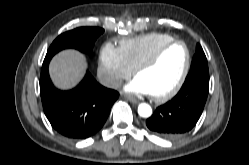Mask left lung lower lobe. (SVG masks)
Here are the masks:
<instances>
[{
    "mask_svg": "<svg viewBox=\"0 0 249 165\" xmlns=\"http://www.w3.org/2000/svg\"><path fill=\"white\" fill-rule=\"evenodd\" d=\"M209 91V76L186 78L172 100L159 106L146 120L147 127L163 138H176L189 132L199 120Z\"/></svg>",
    "mask_w": 249,
    "mask_h": 165,
    "instance_id": "0a47b994",
    "label": "left lung lower lobe"
}]
</instances>
